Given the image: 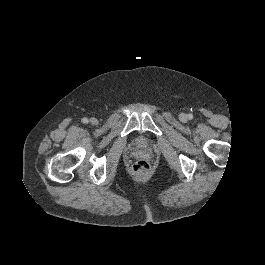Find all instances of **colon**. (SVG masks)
<instances>
[{"mask_svg": "<svg viewBox=\"0 0 265 265\" xmlns=\"http://www.w3.org/2000/svg\"><path fill=\"white\" fill-rule=\"evenodd\" d=\"M149 168V163L146 160H137L132 166V171L136 175H143L149 171Z\"/></svg>", "mask_w": 265, "mask_h": 265, "instance_id": "obj_1", "label": "colon"}]
</instances>
